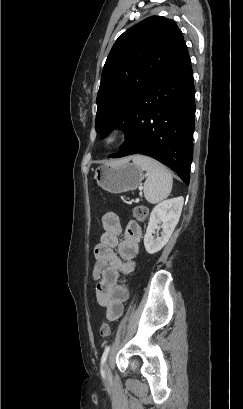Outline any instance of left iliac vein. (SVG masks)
I'll return each instance as SVG.
<instances>
[{"instance_id": "left-iliac-vein-1", "label": "left iliac vein", "mask_w": 243, "mask_h": 409, "mask_svg": "<svg viewBox=\"0 0 243 409\" xmlns=\"http://www.w3.org/2000/svg\"><path fill=\"white\" fill-rule=\"evenodd\" d=\"M104 372H105V378L107 380H110L112 378V374H111V370H110V367H109L108 363L105 364Z\"/></svg>"}]
</instances>
